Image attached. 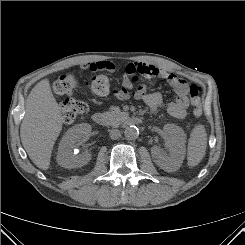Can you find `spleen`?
Segmentation results:
<instances>
[{
    "label": "spleen",
    "instance_id": "1",
    "mask_svg": "<svg viewBox=\"0 0 245 245\" xmlns=\"http://www.w3.org/2000/svg\"><path fill=\"white\" fill-rule=\"evenodd\" d=\"M207 146V133L201 124L196 125L191 132L188 143V165L193 167L198 165L205 155Z\"/></svg>",
    "mask_w": 245,
    "mask_h": 245
}]
</instances>
